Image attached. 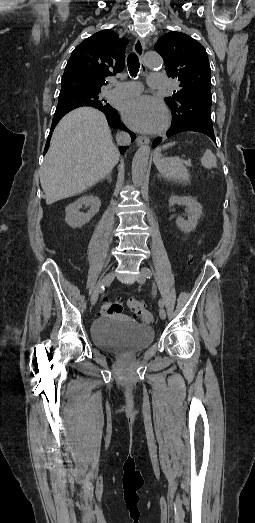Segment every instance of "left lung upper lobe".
Segmentation results:
<instances>
[{
	"mask_svg": "<svg viewBox=\"0 0 255 523\" xmlns=\"http://www.w3.org/2000/svg\"><path fill=\"white\" fill-rule=\"evenodd\" d=\"M155 49L165 62L167 75L180 81V89L165 98L172 111L171 126L175 123L202 127V130H210L209 134H214L211 69L205 48L190 36L172 31L159 38Z\"/></svg>",
	"mask_w": 255,
	"mask_h": 523,
	"instance_id": "1",
	"label": "left lung upper lobe"
}]
</instances>
